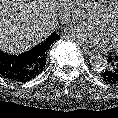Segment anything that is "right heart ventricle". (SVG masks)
Returning <instances> with one entry per match:
<instances>
[{"label":"right heart ventricle","instance_id":"right-heart-ventricle-1","mask_svg":"<svg viewBox=\"0 0 118 118\" xmlns=\"http://www.w3.org/2000/svg\"><path fill=\"white\" fill-rule=\"evenodd\" d=\"M110 1L112 0H94V2L101 8L104 7L106 4H108Z\"/></svg>","mask_w":118,"mask_h":118}]
</instances>
